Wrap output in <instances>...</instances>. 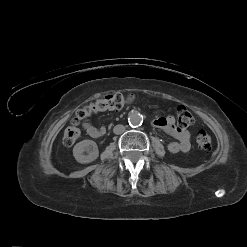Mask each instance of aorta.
<instances>
[{
    "mask_svg": "<svg viewBox=\"0 0 247 247\" xmlns=\"http://www.w3.org/2000/svg\"><path fill=\"white\" fill-rule=\"evenodd\" d=\"M128 122L129 125L132 127L139 126L142 123V117L138 112L132 111L129 114Z\"/></svg>",
    "mask_w": 247,
    "mask_h": 247,
    "instance_id": "1",
    "label": "aorta"
}]
</instances>
